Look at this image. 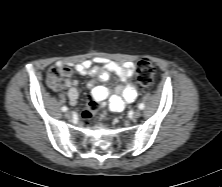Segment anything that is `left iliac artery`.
Returning <instances> with one entry per match:
<instances>
[{"label":"left iliac artery","instance_id":"1","mask_svg":"<svg viewBox=\"0 0 222 187\" xmlns=\"http://www.w3.org/2000/svg\"><path fill=\"white\" fill-rule=\"evenodd\" d=\"M138 107H139V109L142 110V109H144L145 105L143 103H140Z\"/></svg>","mask_w":222,"mask_h":187}]
</instances>
